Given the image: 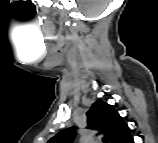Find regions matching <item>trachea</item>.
Segmentation results:
<instances>
[{
    "label": "trachea",
    "mask_w": 158,
    "mask_h": 143,
    "mask_svg": "<svg viewBox=\"0 0 158 143\" xmlns=\"http://www.w3.org/2000/svg\"><path fill=\"white\" fill-rule=\"evenodd\" d=\"M109 141L108 138H103V142L107 143Z\"/></svg>",
    "instance_id": "3493384b"
}]
</instances>
